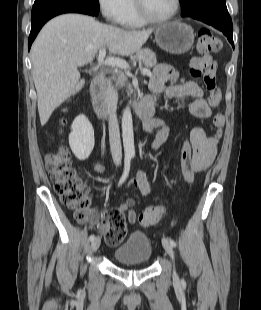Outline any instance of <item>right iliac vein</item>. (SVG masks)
<instances>
[{
  "mask_svg": "<svg viewBox=\"0 0 261 310\" xmlns=\"http://www.w3.org/2000/svg\"><path fill=\"white\" fill-rule=\"evenodd\" d=\"M101 240L99 237H96L91 243V251L96 252L100 246Z\"/></svg>",
  "mask_w": 261,
  "mask_h": 310,
  "instance_id": "right-iliac-vein-1",
  "label": "right iliac vein"
}]
</instances>
